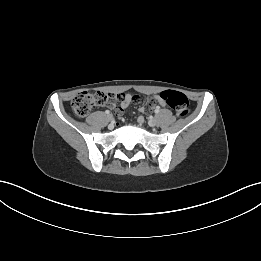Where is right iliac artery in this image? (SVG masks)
<instances>
[{"instance_id": "obj_1", "label": "right iliac artery", "mask_w": 261, "mask_h": 261, "mask_svg": "<svg viewBox=\"0 0 261 261\" xmlns=\"http://www.w3.org/2000/svg\"><path fill=\"white\" fill-rule=\"evenodd\" d=\"M105 113H106V114H109V113H110V111H109V110H106V111H105Z\"/></svg>"}]
</instances>
